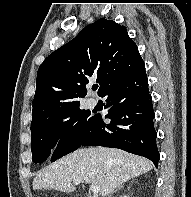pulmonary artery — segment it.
<instances>
[{
	"mask_svg": "<svg viewBox=\"0 0 191 197\" xmlns=\"http://www.w3.org/2000/svg\"><path fill=\"white\" fill-rule=\"evenodd\" d=\"M90 105L94 106L95 105V100L94 99H90Z\"/></svg>",
	"mask_w": 191,
	"mask_h": 197,
	"instance_id": "pulmonary-artery-1",
	"label": "pulmonary artery"
}]
</instances>
